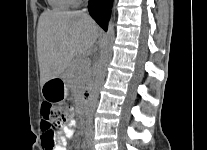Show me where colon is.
<instances>
[{
    "label": "colon",
    "instance_id": "colon-1",
    "mask_svg": "<svg viewBox=\"0 0 207 150\" xmlns=\"http://www.w3.org/2000/svg\"><path fill=\"white\" fill-rule=\"evenodd\" d=\"M41 113V129L43 131L44 142L43 147L45 150H52V147L55 145L54 133L59 130L66 121L68 108L62 104L47 101L42 105Z\"/></svg>",
    "mask_w": 207,
    "mask_h": 150
}]
</instances>
